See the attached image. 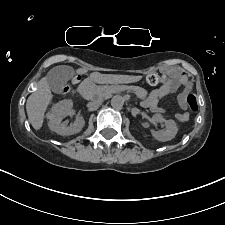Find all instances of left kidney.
<instances>
[{"label":"left kidney","mask_w":225,"mask_h":225,"mask_svg":"<svg viewBox=\"0 0 225 225\" xmlns=\"http://www.w3.org/2000/svg\"><path fill=\"white\" fill-rule=\"evenodd\" d=\"M152 123L160 122L164 123L166 125V129L162 131H152V136L158 140V141H169L173 139L177 132H178V126L175 123L174 120H166L161 114H155L153 115L151 119Z\"/></svg>","instance_id":"5707ae66"}]
</instances>
